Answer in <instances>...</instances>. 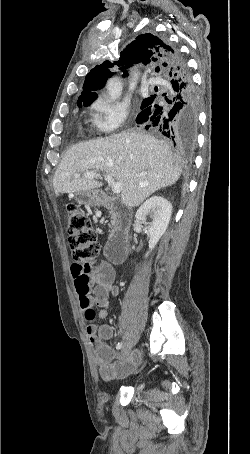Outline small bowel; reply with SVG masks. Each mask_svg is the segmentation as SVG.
<instances>
[{
  "instance_id": "small-bowel-1",
  "label": "small bowel",
  "mask_w": 250,
  "mask_h": 454,
  "mask_svg": "<svg viewBox=\"0 0 250 454\" xmlns=\"http://www.w3.org/2000/svg\"><path fill=\"white\" fill-rule=\"evenodd\" d=\"M70 272L82 310L97 306L98 317L105 319L109 314L110 295L118 294L113 267L104 262L94 267L90 264L74 262ZM113 332L112 326L108 324L97 326L90 322L87 327V333L93 345L95 363L101 378L106 381L129 375L136 369L140 360L139 354L135 352L129 357L120 355L116 361H113L116 353L105 342L113 336Z\"/></svg>"
}]
</instances>
